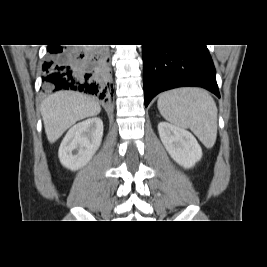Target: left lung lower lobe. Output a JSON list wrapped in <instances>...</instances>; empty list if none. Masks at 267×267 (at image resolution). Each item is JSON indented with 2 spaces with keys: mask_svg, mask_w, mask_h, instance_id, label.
Here are the masks:
<instances>
[{
  "mask_svg": "<svg viewBox=\"0 0 267 267\" xmlns=\"http://www.w3.org/2000/svg\"><path fill=\"white\" fill-rule=\"evenodd\" d=\"M147 107L158 93L199 86L220 97L216 72L206 45H142Z\"/></svg>",
  "mask_w": 267,
  "mask_h": 267,
  "instance_id": "left-lung-lower-lobe-1",
  "label": "left lung lower lobe"
}]
</instances>
